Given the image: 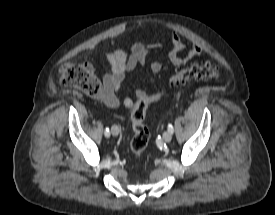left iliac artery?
Segmentation results:
<instances>
[{
    "instance_id": "44dca946",
    "label": "left iliac artery",
    "mask_w": 275,
    "mask_h": 215,
    "mask_svg": "<svg viewBox=\"0 0 275 215\" xmlns=\"http://www.w3.org/2000/svg\"><path fill=\"white\" fill-rule=\"evenodd\" d=\"M168 131H170L171 133L174 132V128H173L172 124H168Z\"/></svg>"
}]
</instances>
